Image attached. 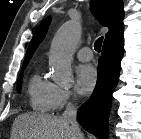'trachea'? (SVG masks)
Returning a JSON list of instances; mask_svg holds the SVG:
<instances>
[{
    "label": "trachea",
    "mask_w": 141,
    "mask_h": 139,
    "mask_svg": "<svg viewBox=\"0 0 141 139\" xmlns=\"http://www.w3.org/2000/svg\"><path fill=\"white\" fill-rule=\"evenodd\" d=\"M102 41H103V37H100V38H98V39L95 41V43H94V49H95L97 52H100V50H101Z\"/></svg>",
    "instance_id": "obj_1"
}]
</instances>
